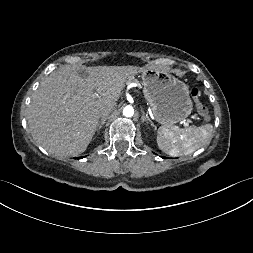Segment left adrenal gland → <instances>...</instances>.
Wrapping results in <instances>:
<instances>
[{
	"label": "left adrenal gland",
	"instance_id": "1",
	"mask_svg": "<svg viewBox=\"0 0 253 253\" xmlns=\"http://www.w3.org/2000/svg\"><path fill=\"white\" fill-rule=\"evenodd\" d=\"M141 112H142V117H141L142 123H144V122L150 123L148 117L145 116V112L143 109H141Z\"/></svg>",
	"mask_w": 253,
	"mask_h": 253
}]
</instances>
